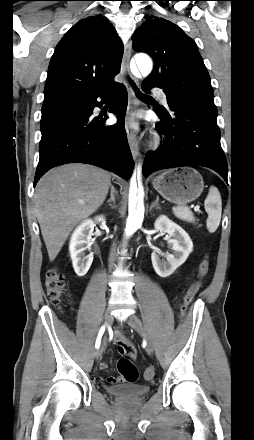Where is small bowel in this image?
<instances>
[{
  "mask_svg": "<svg viewBox=\"0 0 254 440\" xmlns=\"http://www.w3.org/2000/svg\"><path fill=\"white\" fill-rule=\"evenodd\" d=\"M114 342L117 346V350L120 354L128 355L131 358H135L137 351L135 346L128 340V338L122 334L120 330L114 333ZM100 368L102 370L108 369V364L106 362H101ZM123 377L109 376L106 378L108 384H116L123 382Z\"/></svg>",
  "mask_w": 254,
  "mask_h": 440,
  "instance_id": "c3829d8e",
  "label": "small bowel"
}]
</instances>
